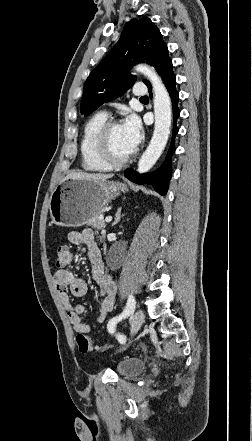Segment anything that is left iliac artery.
<instances>
[{
	"mask_svg": "<svg viewBox=\"0 0 252 441\" xmlns=\"http://www.w3.org/2000/svg\"><path fill=\"white\" fill-rule=\"evenodd\" d=\"M135 305H136L135 298H134V296H133L132 294H130L129 297H128V301H127L126 307H125V309L123 310V312H122L120 315H118V316L112 318V319L107 323V328H108V330H109L110 332H112V333H113V336L115 337V339H118V341H119L120 343H122V344L125 343V341H126V337H125V336H126V333H125V331H123V330L117 331L115 326H116V324H117L118 322H120L122 319L126 318L127 316H129V314H131V313L134 312Z\"/></svg>",
	"mask_w": 252,
	"mask_h": 441,
	"instance_id": "1",
	"label": "left iliac artery"
}]
</instances>
